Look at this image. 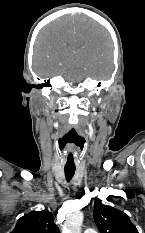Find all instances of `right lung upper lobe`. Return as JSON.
Wrapping results in <instances>:
<instances>
[{
  "instance_id": "right-lung-upper-lobe-1",
  "label": "right lung upper lobe",
  "mask_w": 145,
  "mask_h": 233,
  "mask_svg": "<svg viewBox=\"0 0 145 233\" xmlns=\"http://www.w3.org/2000/svg\"><path fill=\"white\" fill-rule=\"evenodd\" d=\"M12 233H60L54 223L53 215L48 211H32L18 219Z\"/></svg>"
}]
</instances>
